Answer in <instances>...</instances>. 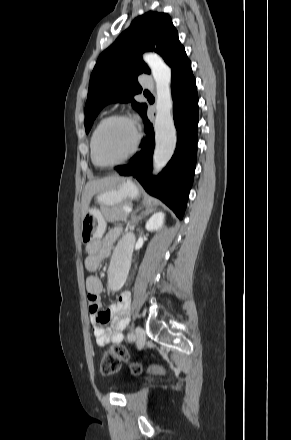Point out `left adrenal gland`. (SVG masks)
Here are the masks:
<instances>
[{"label": "left adrenal gland", "mask_w": 291, "mask_h": 440, "mask_svg": "<svg viewBox=\"0 0 291 440\" xmlns=\"http://www.w3.org/2000/svg\"><path fill=\"white\" fill-rule=\"evenodd\" d=\"M141 218H142V216L134 217V218L132 219V223H137Z\"/></svg>", "instance_id": "a2214340"}]
</instances>
